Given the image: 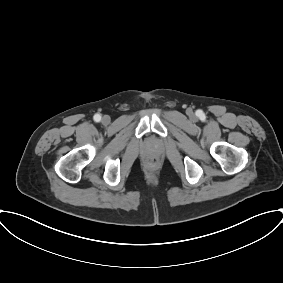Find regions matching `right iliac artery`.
I'll return each instance as SVG.
<instances>
[{
    "mask_svg": "<svg viewBox=\"0 0 283 283\" xmlns=\"http://www.w3.org/2000/svg\"><path fill=\"white\" fill-rule=\"evenodd\" d=\"M94 120H95L96 122H99V121L101 120V116H100L99 114H95V115H94Z\"/></svg>",
    "mask_w": 283,
    "mask_h": 283,
    "instance_id": "82829eb1",
    "label": "right iliac artery"
}]
</instances>
